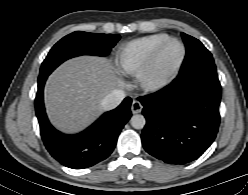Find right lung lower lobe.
<instances>
[{
	"label": "right lung lower lobe",
	"mask_w": 248,
	"mask_h": 195,
	"mask_svg": "<svg viewBox=\"0 0 248 195\" xmlns=\"http://www.w3.org/2000/svg\"><path fill=\"white\" fill-rule=\"evenodd\" d=\"M47 77L38 79L35 111L48 152L62 165L73 169L88 168L106 159L114 150L122 128L131 117V98H125L116 109L104 113L81 133L67 135L55 129L46 116L43 89Z\"/></svg>",
	"instance_id": "right-lung-lower-lobe-1"
}]
</instances>
